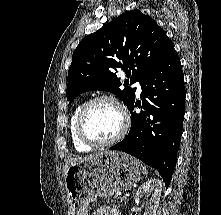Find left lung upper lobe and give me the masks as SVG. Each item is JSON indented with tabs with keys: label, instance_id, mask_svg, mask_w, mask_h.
<instances>
[{
	"label": "left lung upper lobe",
	"instance_id": "left-lung-upper-lobe-1",
	"mask_svg": "<svg viewBox=\"0 0 221 215\" xmlns=\"http://www.w3.org/2000/svg\"><path fill=\"white\" fill-rule=\"evenodd\" d=\"M171 44L151 17L138 10L120 15L83 38L73 52L67 100L72 102L86 91L104 90L118 96L129 107L135 100L136 91V88L128 87L129 82H141ZM120 69L126 72L130 81H120L116 76Z\"/></svg>",
	"mask_w": 221,
	"mask_h": 215
}]
</instances>
